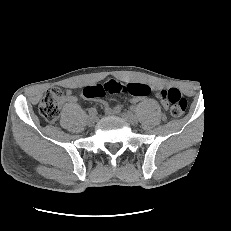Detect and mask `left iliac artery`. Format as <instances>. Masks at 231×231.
<instances>
[{
  "instance_id": "1",
  "label": "left iliac artery",
  "mask_w": 231,
  "mask_h": 231,
  "mask_svg": "<svg viewBox=\"0 0 231 231\" xmlns=\"http://www.w3.org/2000/svg\"><path fill=\"white\" fill-rule=\"evenodd\" d=\"M131 110H132V111H136V107H135V106H132V107H131Z\"/></svg>"
}]
</instances>
